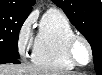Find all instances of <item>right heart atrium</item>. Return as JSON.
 <instances>
[{"instance_id": "right-heart-atrium-1", "label": "right heart atrium", "mask_w": 102, "mask_h": 75, "mask_svg": "<svg viewBox=\"0 0 102 75\" xmlns=\"http://www.w3.org/2000/svg\"><path fill=\"white\" fill-rule=\"evenodd\" d=\"M34 21H35L34 15L33 14L29 15L21 24L18 30L17 44L19 51L22 54H26L32 48L34 36L33 31Z\"/></svg>"}]
</instances>
